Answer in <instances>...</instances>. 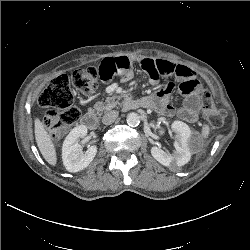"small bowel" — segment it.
<instances>
[{
    "label": "small bowel",
    "mask_w": 250,
    "mask_h": 250,
    "mask_svg": "<svg viewBox=\"0 0 250 250\" xmlns=\"http://www.w3.org/2000/svg\"><path fill=\"white\" fill-rule=\"evenodd\" d=\"M140 65L149 74L153 84H156L162 76L175 77L180 83L179 90L184 96L183 106L176 111L170 103L173 85L168 83L164 84L156 94L138 100L140 106L154 108L166 115L177 113L181 119L189 123L198 120L203 86L192 69L167 60L149 58L142 59ZM98 70L100 79L104 82L114 76H119L122 81L127 82L133 76L132 62L126 56L106 58L101 62Z\"/></svg>",
    "instance_id": "obj_1"
}]
</instances>
